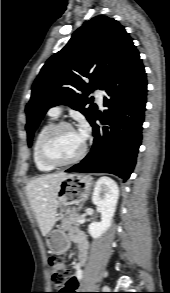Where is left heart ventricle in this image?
<instances>
[{"label": "left heart ventricle", "instance_id": "obj_1", "mask_svg": "<svg viewBox=\"0 0 170 293\" xmlns=\"http://www.w3.org/2000/svg\"><path fill=\"white\" fill-rule=\"evenodd\" d=\"M82 147L83 140L75 130L62 128L48 142L47 153L53 159L64 161L77 155Z\"/></svg>", "mask_w": 170, "mask_h": 293}]
</instances>
